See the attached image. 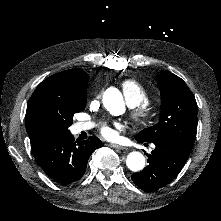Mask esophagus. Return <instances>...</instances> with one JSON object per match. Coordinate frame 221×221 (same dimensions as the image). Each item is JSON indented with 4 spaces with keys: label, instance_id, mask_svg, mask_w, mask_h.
<instances>
[{
    "label": "esophagus",
    "instance_id": "esophagus-1",
    "mask_svg": "<svg viewBox=\"0 0 221 221\" xmlns=\"http://www.w3.org/2000/svg\"><path fill=\"white\" fill-rule=\"evenodd\" d=\"M109 146L113 147V148H116V149H126L125 146L119 145V144H115V143H110Z\"/></svg>",
    "mask_w": 221,
    "mask_h": 221
}]
</instances>
